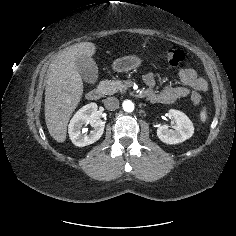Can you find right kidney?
<instances>
[{
  "label": "right kidney",
  "instance_id": "ca27d5eb",
  "mask_svg": "<svg viewBox=\"0 0 236 236\" xmlns=\"http://www.w3.org/2000/svg\"><path fill=\"white\" fill-rule=\"evenodd\" d=\"M97 104L90 103L79 109L69 123L68 133L75 146L84 147L90 145L103 134L105 123L96 117ZM90 124L93 127L89 133H83V125ZM82 130V131H81Z\"/></svg>",
  "mask_w": 236,
  "mask_h": 236
}]
</instances>
